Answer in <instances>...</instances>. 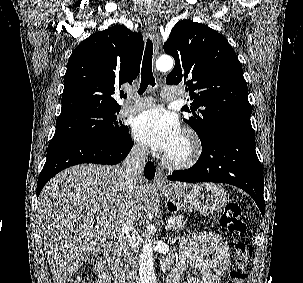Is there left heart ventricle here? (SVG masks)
Listing matches in <instances>:
<instances>
[{"label": "left heart ventricle", "mask_w": 303, "mask_h": 283, "mask_svg": "<svg viewBox=\"0 0 303 283\" xmlns=\"http://www.w3.org/2000/svg\"><path fill=\"white\" fill-rule=\"evenodd\" d=\"M186 152V144L181 138L180 142L177 144V146L170 152L168 155L172 157H180Z\"/></svg>", "instance_id": "b2bd125f"}]
</instances>
